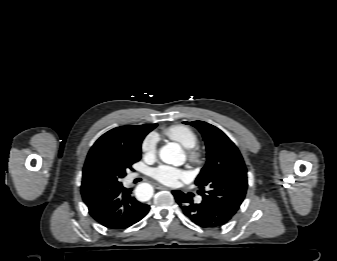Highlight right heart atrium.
Instances as JSON below:
<instances>
[{
    "instance_id": "obj_1",
    "label": "right heart atrium",
    "mask_w": 337,
    "mask_h": 261,
    "mask_svg": "<svg viewBox=\"0 0 337 261\" xmlns=\"http://www.w3.org/2000/svg\"><path fill=\"white\" fill-rule=\"evenodd\" d=\"M142 152L147 157H154L157 152V136L155 134L148 135L142 143Z\"/></svg>"
}]
</instances>
